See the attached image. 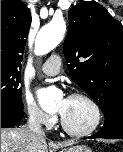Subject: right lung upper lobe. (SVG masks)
Masks as SVG:
<instances>
[{
	"mask_svg": "<svg viewBox=\"0 0 123 152\" xmlns=\"http://www.w3.org/2000/svg\"><path fill=\"white\" fill-rule=\"evenodd\" d=\"M30 24V10L23 2L1 1V68L21 69Z\"/></svg>",
	"mask_w": 123,
	"mask_h": 152,
	"instance_id": "1",
	"label": "right lung upper lobe"
}]
</instances>
